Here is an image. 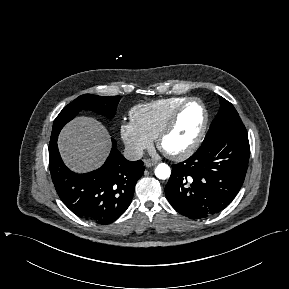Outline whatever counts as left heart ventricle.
Segmentation results:
<instances>
[{
  "instance_id": "1",
  "label": "left heart ventricle",
  "mask_w": 289,
  "mask_h": 289,
  "mask_svg": "<svg viewBox=\"0 0 289 289\" xmlns=\"http://www.w3.org/2000/svg\"><path fill=\"white\" fill-rule=\"evenodd\" d=\"M204 114L201 106L192 102L182 111L173 131L164 139L163 149L178 152L188 147L198 135Z\"/></svg>"
}]
</instances>
